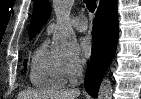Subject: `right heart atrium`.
Segmentation results:
<instances>
[{
	"label": "right heart atrium",
	"mask_w": 141,
	"mask_h": 99,
	"mask_svg": "<svg viewBox=\"0 0 141 99\" xmlns=\"http://www.w3.org/2000/svg\"><path fill=\"white\" fill-rule=\"evenodd\" d=\"M83 71V62L78 58L66 59L63 64V73L66 80L77 79Z\"/></svg>",
	"instance_id": "obj_1"
}]
</instances>
